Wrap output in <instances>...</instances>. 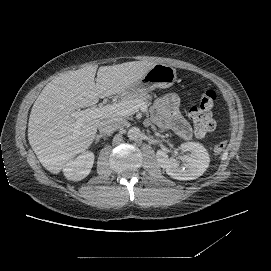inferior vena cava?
<instances>
[{
    "instance_id": "obj_1",
    "label": "inferior vena cava",
    "mask_w": 271,
    "mask_h": 271,
    "mask_svg": "<svg viewBox=\"0 0 271 271\" xmlns=\"http://www.w3.org/2000/svg\"><path fill=\"white\" fill-rule=\"evenodd\" d=\"M124 125L125 123L121 119L104 120L99 124L98 129L100 133L110 134L123 127Z\"/></svg>"
}]
</instances>
